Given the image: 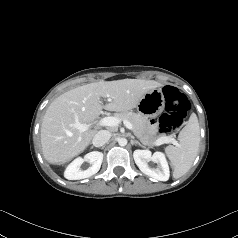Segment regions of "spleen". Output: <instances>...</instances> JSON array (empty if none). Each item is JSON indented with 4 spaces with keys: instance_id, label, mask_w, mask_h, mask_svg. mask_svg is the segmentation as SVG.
I'll return each mask as SVG.
<instances>
[{
    "instance_id": "1",
    "label": "spleen",
    "mask_w": 238,
    "mask_h": 238,
    "mask_svg": "<svg viewBox=\"0 0 238 238\" xmlns=\"http://www.w3.org/2000/svg\"><path fill=\"white\" fill-rule=\"evenodd\" d=\"M179 144L169 145L165 153L173 167V177L183 176L191 168L199 149L200 129L195 113H192L186 126L178 135Z\"/></svg>"
}]
</instances>
